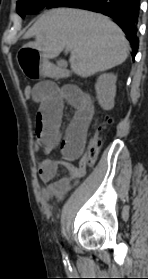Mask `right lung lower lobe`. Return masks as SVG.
Masks as SVG:
<instances>
[{"mask_svg":"<svg viewBox=\"0 0 148 279\" xmlns=\"http://www.w3.org/2000/svg\"><path fill=\"white\" fill-rule=\"evenodd\" d=\"M140 0H53L46 7H73L107 15L115 20L127 35L132 46V56L138 50V16Z\"/></svg>","mask_w":148,"mask_h":279,"instance_id":"1","label":"right lung lower lobe"}]
</instances>
